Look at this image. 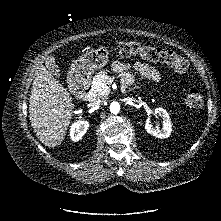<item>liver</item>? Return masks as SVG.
I'll return each instance as SVG.
<instances>
[{
    "label": "liver",
    "instance_id": "1",
    "mask_svg": "<svg viewBox=\"0 0 221 221\" xmlns=\"http://www.w3.org/2000/svg\"><path fill=\"white\" fill-rule=\"evenodd\" d=\"M73 98L44 66L33 81L29 116L38 139L47 147L60 145L65 138L75 105Z\"/></svg>",
    "mask_w": 221,
    "mask_h": 221
}]
</instances>
